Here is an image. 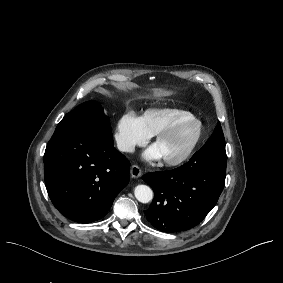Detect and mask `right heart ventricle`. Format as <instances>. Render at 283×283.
Segmentation results:
<instances>
[{
  "mask_svg": "<svg viewBox=\"0 0 283 283\" xmlns=\"http://www.w3.org/2000/svg\"><path fill=\"white\" fill-rule=\"evenodd\" d=\"M186 116H192V114L174 108L149 109L145 112L143 120L152 134H158L167 129L178 119Z\"/></svg>",
  "mask_w": 283,
  "mask_h": 283,
  "instance_id": "1",
  "label": "right heart ventricle"
}]
</instances>
